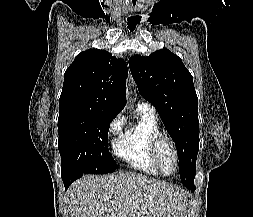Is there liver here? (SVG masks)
Masks as SVG:
<instances>
[{
  "instance_id": "obj_1",
  "label": "liver",
  "mask_w": 253,
  "mask_h": 217,
  "mask_svg": "<svg viewBox=\"0 0 253 217\" xmlns=\"http://www.w3.org/2000/svg\"><path fill=\"white\" fill-rule=\"evenodd\" d=\"M72 217H184L186 193L134 173L86 176L68 190Z\"/></svg>"
}]
</instances>
